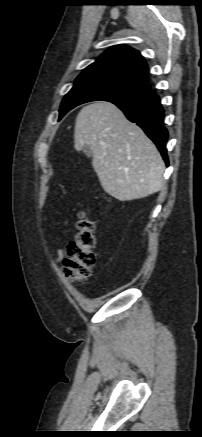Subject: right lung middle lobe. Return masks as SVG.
<instances>
[{"mask_svg": "<svg viewBox=\"0 0 202 437\" xmlns=\"http://www.w3.org/2000/svg\"><path fill=\"white\" fill-rule=\"evenodd\" d=\"M150 89L146 82H140L119 73L82 72L61 103L59 119L77 105L86 102L97 100L111 102L133 98L148 92Z\"/></svg>", "mask_w": 202, "mask_h": 437, "instance_id": "right-lung-middle-lobe-1", "label": "right lung middle lobe"}]
</instances>
